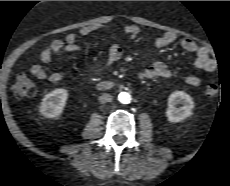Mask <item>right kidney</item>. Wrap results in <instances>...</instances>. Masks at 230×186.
<instances>
[{
	"label": "right kidney",
	"instance_id": "right-kidney-1",
	"mask_svg": "<svg viewBox=\"0 0 230 186\" xmlns=\"http://www.w3.org/2000/svg\"><path fill=\"white\" fill-rule=\"evenodd\" d=\"M68 92L65 89H55L45 95L40 106V113L45 118L59 117L65 107Z\"/></svg>",
	"mask_w": 230,
	"mask_h": 186
}]
</instances>
